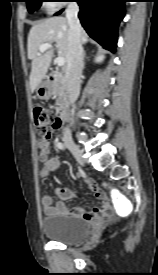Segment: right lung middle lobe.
<instances>
[{"label": "right lung middle lobe", "instance_id": "obj_1", "mask_svg": "<svg viewBox=\"0 0 158 275\" xmlns=\"http://www.w3.org/2000/svg\"><path fill=\"white\" fill-rule=\"evenodd\" d=\"M43 0H26L27 8L30 13L38 10L42 4Z\"/></svg>", "mask_w": 158, "mask_h": 275}]
</instances>
